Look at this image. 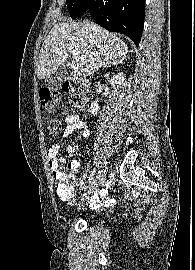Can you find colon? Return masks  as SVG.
Masks as SVG:
<instances>
[{"label":"colon","mask_w":195,"mask_h":270,"mask_svg":"<svg viewBox=\"0 0 195 270\" xmlns=\"http://www.w3.org/2000/svg\"><path fill=\"white\" fill-rule=\"evenodd\" d=\"M63 90L74 108L84 106L87 96V87L84 82L79 80L68 81L64 83ZM39 96L42 108L48 113H53L58 106L59 94L49 89H43L40 91ZM46 129L49 135L55 136L61 130V122L58 119H49L46 123ZM68 170H71L69 165ZM68 170L58 168L54 174L57 192L61 194L70 192L75 184V176Z\"/></svg>","instance_id":"colon-1"}]
</instances>
